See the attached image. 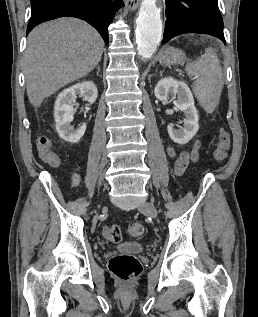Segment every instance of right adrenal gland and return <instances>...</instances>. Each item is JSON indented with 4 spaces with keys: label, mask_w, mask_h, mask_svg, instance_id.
<instances>
[{
    "label": "right adrenal gland",
    "mask_w": 258,
    "mask_h": 317,
    "mask_svg": "<svg viewBox=\"0 0 258 317\" xmlns=\"http://www.w3.org/2000/svg\"><path fill=\"white\" fill-rule=\"evenodd\" d=\"M96 68H97V74H98V76H101V74H99V72H100V64H98V66H96Z\"/></svg>",
    "instance_id": "obj_1"
}]
</instances>
